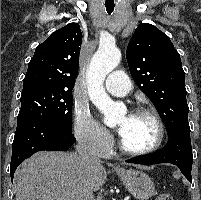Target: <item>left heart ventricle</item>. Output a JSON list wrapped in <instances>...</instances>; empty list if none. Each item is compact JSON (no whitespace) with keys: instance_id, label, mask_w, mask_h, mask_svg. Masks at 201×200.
<instances>
[{"instance_id":"1","label":"left heart ventricle","mask_w":201,"mask_h":200,"mask_svg":"<svg viewBox=\"0 0 201 200\" xmlns=\"http://www.w3.org/2000/svg\"><path fill=\"white\" fill-rule=\"evenodd\" d=\"M115 126L125 144L131 149H146L153 145L158 137L157 125L147 115L123 113L117 119Z\"/></svg>"}]
</instances>
